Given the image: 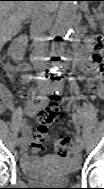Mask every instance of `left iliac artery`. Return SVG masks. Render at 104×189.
<instances>
[{"mask_svg":"<svg viewBox=\"0 0 104 189\" xmlns=\"http://www.w3.org/2000/svg\"><path fill=\"white\" fill-rule=\"evenodd\" d=\"M62 90L58 89L56 91V95H61ZM73 120L75 121L76 125H74V131H75V136H80V133H82V130L80 128V121H79V111L77 107L73 108ZM81 140V137H79Z\"/></svg>","mask_w":104,"mask_h":189,"instance_id":"44dca946","label":"left iliac artery"}]
</instances>
